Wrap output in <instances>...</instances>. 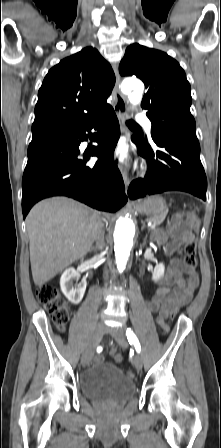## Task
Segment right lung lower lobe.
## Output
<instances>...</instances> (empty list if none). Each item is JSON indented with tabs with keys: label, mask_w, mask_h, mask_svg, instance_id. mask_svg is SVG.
<instances>
[{
	"label": "right lung lower lobe",
	"mask_w": 221,
	"mask_h": 448,
	"mask_svg": "<svg viewBox=\"0 0 221 448\" xmlns=\"http://www.w3.org/2000/svg\"><path fill=\"white\" fill-rule=\"evenodd\" d=\"M98 143L90 153L79 150L92 138ZM88 132L89 134H87ZM119 122L111 106L82 124L72 126L28 147L22 179V210L25 218L41 199L64 195L98 210L115 212L126 202L124 183L113 152L119 139ZM90 156L98 161L88 164Z\"/></svg>",
	"instance_id": "right-lung-lower-lobe-1"
}]
</instances>
